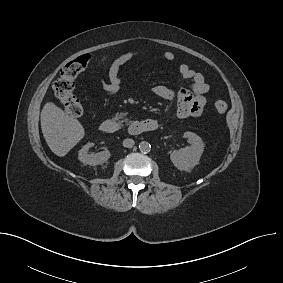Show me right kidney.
Segmentation results:
<instances>
[{
	"instance_id": "1",
	"label": "right kidney",
	"mask_w": 283,
	"mask_h": 283,
	"mask_svg": "<svg viewBox=\"0 0 283 283\" xmlns=\"http://www.w3.org/2000/svg\"><path fill=\"white\" fill-rule=\"evenodd\" d=\"M93 146V143H87L79 151L78 159L83 164L96 166L105 163L111 156L108 150L96 154H88V150Z\"/></svg>"
}]
</instances>
